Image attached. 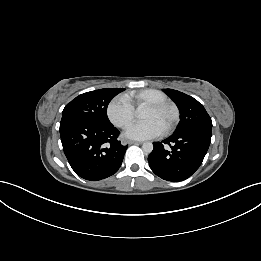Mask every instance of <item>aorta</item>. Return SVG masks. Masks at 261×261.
Segmentation results:
<instances>
[{
	"label": "aorta",
	"instance_id": "aorta-1",
	"mask_svg": "<svg viewBox=\"0 0 261 261\" xmlns=\"http://www.w3.org/2000/svg\"><path fill=\"white\" fill-rule=\"evenodd\" d=\"M142 149L145 153H151L153 151V144L151 142H145L142 145Z\"/></svg>",
	"mask_w": 261,
	"mask_h": 261
}]
</instances>
